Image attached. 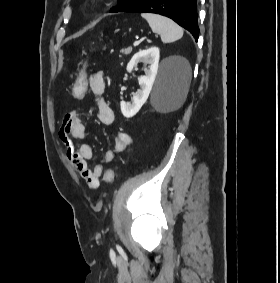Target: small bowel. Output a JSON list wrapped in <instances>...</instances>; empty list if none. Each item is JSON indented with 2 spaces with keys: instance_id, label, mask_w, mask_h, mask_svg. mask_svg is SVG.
<instances>
[{
  "instance_id": "1",
  "label": "small bowel",
  "mask_w": 280,
  "mask_h": 283,
  "mask_svg": "<svg viewBox=\"0 0 280 283\" xmlns=\"http://www.w3.org/2000/svg\"><path fill=\"white\" fill-rule=\"evenodd\" d=\"M89 78V87H91V92L97 99L98 120L103 125H112L114 122L113 110L103 99L105 92L103 74L97 72ZM59 138L65 147L67 159L85 180L88 187L91 189L98 188L105 167L103 163H96L92 168L88 165V161L93 158V148L88 143H82L86 138V130L83 123V114L80 110H73L64 116L59 130ZM75 142L79 144L76 145ZM131 145L132 138L128 133H117L112 149L106 150L104 153V162L114 161L118 154L128 152Z\"/></svg>"
}]
</instances>
